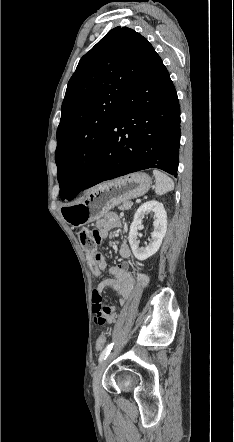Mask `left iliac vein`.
<instances>
[{"label":"left iliac vein","mask_w":234,"mask_h":442,"mask_svg":"<svg viewBox=\"0 0 234 442\" xmlns=\"http://www.w3.org/2000/svg\"><path fill=\"white\" fill-rule=\"evenodd\" d=\"M114 354H115V352H113L107 359L100 362V364L98 365V367L96 368V370L94 372L92 386H93L94 396L97 400H100L102 397V394H101L102 375L104 373V370H105L107 364L109 363L111 358L114 356Z\"/></svg>","instance_id":"left-iliac-vein-1"}]
</instances>
